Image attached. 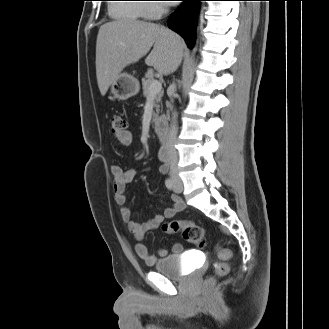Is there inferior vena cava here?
Instances as JSON below:
<instances>
[{
	"label": "inferior vena cava",
	"mask_w": 329,
	"mask_h": 329,
	"mask_svg": "<svg viewBox=\"0 0 329 329\" xmlns=\"http://www.w3.org/2000/svg\"><path fill=\"white\" fill-rule=\"evenodd\" d=\"M170 90L174 92L175 85L172 84L170 86ZM177 138V124L175 115L172 118V122L170 125L169 133L167 136L166 148L169 157V164H170V176L172 179H178V154L175 150L174 144Z\"/></svg>",
	"instance_id": "obj_1"
}]
</instances>
